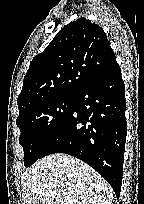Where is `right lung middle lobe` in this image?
<instances>
[{
    "label": "right lung middle lobe",
    "instance_id": "1",
    "mask_svg": "<svg viewBox=\"0 0 144 204\" xmlns=\"http://www.w3.org/2000/svg\"><path fill=\"white\" fill-rule=\"evenodd\" d=\"M75 96L65 95L40 103L16 119L21 131L19 143L24 150V166L28 167L43 157V152L70 115Z\"/></svg>",
    "mask_w": 144,
    "mask_h": 204
}]
</instances>
